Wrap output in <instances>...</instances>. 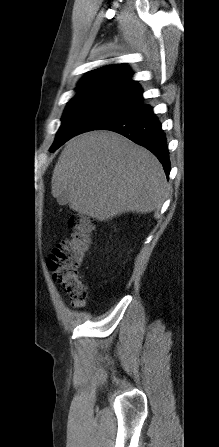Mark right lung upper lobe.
Returning a JSON list of instances; mask_svg holds the SVG:
<instances>
[{
    "label": "right lung upper lobe",
    "instance_id": "cb5924a9",
    "mask_svg": "<svg viewBox=\"0 0 219 447\" xmlns=\"http://www.w3.org/2000/svg\"><path fill=\"white\" fill-rule=\"evenodd\" d=\"M131 78L124 64H112L91 71L80 81L79 88H111L143 100L142 89Z\"/></svg>",
    "mask_w": 219,
    "mask_h": 447
}]
</instances>
